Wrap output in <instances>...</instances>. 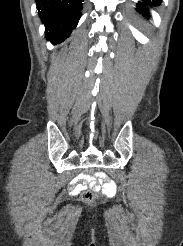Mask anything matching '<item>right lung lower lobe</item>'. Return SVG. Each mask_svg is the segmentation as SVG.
I'll return each instance as SVG.
<instances>
[{
  "instance_id": "right-lung-lower-lobe-1",
  "label": "right lung lower lobe",
  "mask_w": 183,
  "mask_h": 246,
  "mask_svg": "<svg viewBox=\"0 0 183 246\" xmlns=\"http://www.w3.org/2000/svg\"><path fill=\"white\" fill-rule=\"evenodd\" d=\"M45 37L52 43L63 42L80 19L84 0H35Z\"/></svg>"
}]
</instances>
